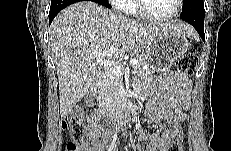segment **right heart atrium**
<instances>
[{
	"label": "right heart atrium",
	"mask_w": 231,
	"mask_h": 151,
	"mask_svg": "<svg viewBox=\"0 0 231 151\" xmlns=\"http://www.w3.org/2000/svg\"><path fill=\"white\" fill-rule=\"evenodd\" d=\"M111 3L119 11H123V12L128 11V1L127 0H112Z\"/></svg>",
	"instance_id": "obj_1"
}]
</instances>
